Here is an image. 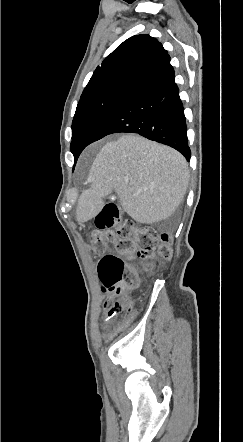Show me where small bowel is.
Here are the masks:
<instances>
[{
  "label": "small bowel",
  "mask_w": 243,
  "mask_h": 442,
  "mask_svg": "<svg viewBox=\"0 0 243 442\" xmlns=\"http://www.w3.org/2000/svg\"><path fill=\"white\" fill-rule=\"evenodd\" d=\"M103 327L105 330L111 332L113 330V313L110 309L105 311V320L103 323Z\"/></svg>",
  "instance_id": "c3829d8e"
}]
</instances>
